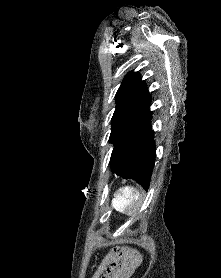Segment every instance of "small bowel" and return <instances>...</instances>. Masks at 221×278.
<instances>
[{
	"label": "small bowel",
	"instance_id": "small-bowel-1",
	"mask_svg": "<svg viewBox=\"0 0 221 278\" xmlns=\"http://www.w3.org/2000/svg\"><path fill=\"white\" fill-rule=\"evenodd\" d=\"M139 255L123 248L109 253L92 278H125L138 263Z\"/></svg>",
	"mask_w": 221,
	"mask_h": 278
}]
</instances>
